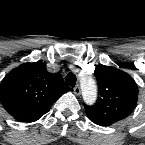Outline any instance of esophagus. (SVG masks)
Returning a JSON list of instances; mask_svg holds the SVG:
<instances>
[{
	"mask_svg": "<svg viewBox=\"0 0 145 145\" xmlns=\"http://www.w3.org/2000/svg\"><path fill=\"white\" fill-rule=\"evenodd\" d=\"M74 93L77 96L81 94V89H80V86L79 85H77V86L74 87Z\"/></svg>",
	"mask_w": 145,
	"mask_h": 145,
	"instance_id": "esophagus-1",
	"label": "esophagus"
}]
</instances>
